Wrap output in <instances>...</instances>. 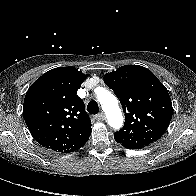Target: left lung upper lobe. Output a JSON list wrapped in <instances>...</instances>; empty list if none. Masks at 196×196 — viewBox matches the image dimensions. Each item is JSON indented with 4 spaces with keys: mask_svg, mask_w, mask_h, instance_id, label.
I'll list each match as a JSON object with an SVG mask.
<instances>
[{
    "mask_svg": "<svg viewBox=\"0 0 196 196\" xmlns=\"http://www.w3.org/2000/svg\"><path fill=\"white\" fill-rule=\"evenodd\" d=\"M105 84L118 97L125 113L123 128L114 134L128 149H141L165 133L172 118L166 87L147 68L125 65L104 75Z\"/></svg>",
    "mask_w": 196,
    "mask_h": 196,
    "instance_id": "5c2ea615",
    "label": "left lung upper lobe"
}]
</instances>
